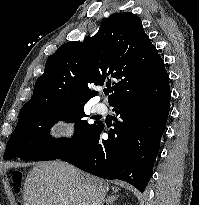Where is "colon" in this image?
I'll return each instance as SVG.
<instances>
[{
    "label": "colon",
    "mask_w": 199,
    "mask_h": 205,
    "mask_svg": "<svg viewBox=\"0 0 199 205\" xmlns=\"http://www.w3.org/2000/svg\"><path fill=\"white\" fill-rule=\"evenodd\" d=\"M17 178H18V179H20V178H21V176H20V175H18V176H17Z\"/></svg>",
    "instance_id": "5ec220e1"
}]
</instances>
